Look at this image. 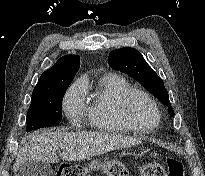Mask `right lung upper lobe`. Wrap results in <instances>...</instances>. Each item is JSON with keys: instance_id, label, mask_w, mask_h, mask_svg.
Here are the masks:
<instances>
[{"instance_id": "right-lung-upper-lobe-1", "label": "right lung upper lobe", "mask_w": 205, "mask_h": 176, "mask_svg": "<svg viewBox=\"0 0 205 176\" xmlns=\"http://www.w3.org/2000/svg\"><path fill=\"white\" fill-rule=\"evenodd\" d=\"M79 67L80 57L78 55L61 57L53 67L41 75L32 96L53 92L62 86H69Z\"/></svg>"}]
</instances>
